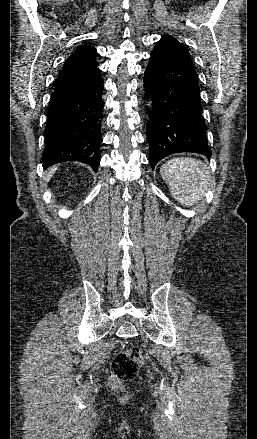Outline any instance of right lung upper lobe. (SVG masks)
Listing matches in <instances>:
<instances>
[{
	"mask_svg": "<svg viewBox=\"0 0 257 439\" xmlns=\"http://www.w3.org/2000/svg\"><path fill=\"white\" fill-rule=\"evenodd\" d=\"M96 54V49L91 45L78 48L65 62L63 70L55 81V86L79 79L96 69Z\"/></svg>",
	"mask_w": 257,
	"mask_h": 439,
	"instance_id": "obj_1",
	"label": "right lung upper lobe"
}]
</instances>
